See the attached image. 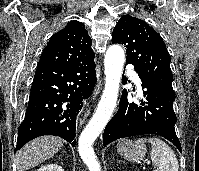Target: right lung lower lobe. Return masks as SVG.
Wrapping results in <instances>:
<instances>
[{
	"label": "right lung lower lobe",
	"instance_id": "1",
	"mask_svg": "<svg viewBox=\"0 0 199 171\" xmlns=\"http://www.w3.org/2000/svg\"><path fill=\"white\" fill-rule=\"evenodd\" d=\"M96 84L95 63L38 66L15 152L28 141L55 135L75 146L76 116Z\"/></svg>",
	"mask_w": 199,
	"mask_h": 171
}]
</instances>
